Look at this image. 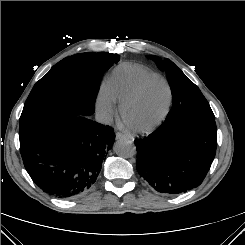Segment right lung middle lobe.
Returning a JSON list of instances; mask_svg holds the SVG:
<instances>
[{
    "label": "right lung middle lobe",
    "instance_id": "1",
    "mask_svg": "<svg viewBox=\"0 0 245 245\" xmlns=\"http://www.w3.org/2000/svg\"><path fill=\"white\" fill-rule=\"evenodd\" d=\"M85 56L99 59L102 73L120 58L118 54L107 52H86L64 58L54 65L34 85L25 102L19 137L62 117L93 114L100 79H92L79 64L78 60Z\"/></svg>",
    "mask_w": 245,
    "mask_h": 245
}]
</instances>
